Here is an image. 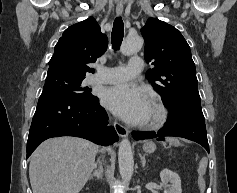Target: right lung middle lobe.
I'll list each match as a JSON object with an SVG mask.
<instances>
[{"mask_svg": "<svg viewBox=\"0 0 237 193\" xmlns=\"http://www.w3.org/2000/svg\"><path fill=\"white\" fill-rule=\"evenodd\" d=\"M83 79L60 71H48L43 92H58L76 101L91 100L95 96L90 93L91 89L83 86Z\"/></svg>", "mask_w": 237, "mask_h": 193, "instance_id": "right-lung-middle-lobe-1", "label": "right lung middle lobe"}]
</instances>
